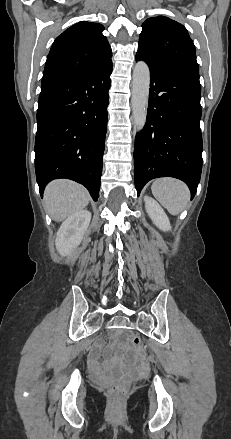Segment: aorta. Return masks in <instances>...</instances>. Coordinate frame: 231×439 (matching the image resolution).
<instances>
[{
    "label": "aorta",
    "mask_w": 231,
    "mask_h": 439,
    "mask_svg": "<svg viewBox=\"0 0 231 439\" xmlns=\"http://www.w3.org/2000/svg\"><path fill=\"white\" fill-rule=\"evenodd\" d=\"M150 88V70L144 61L136 63L132 81V114L137 130H142L147 117Z\"/></svg>",
    "instance_id": "1"
}]
</instances>
